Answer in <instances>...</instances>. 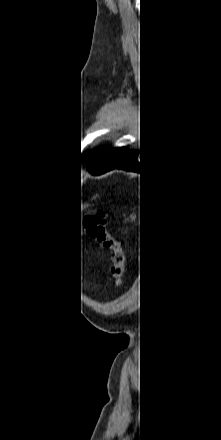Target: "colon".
<instances>
[{
  "label": "colon",
  "instance_id": "5ec220e1",
  "mask_svg": "<svg viewBox=\"0 0 221 440\" xmlns=\"http://www.w3.org/2000/svg\"><path fill=\"white\" fill-rule=\"evenodd\" d=\"M87 230L89 236L94 241L111 252L112 281L116 286L120 285L122 283L126 263V254L121 241L108 234L103 220L89 219L87 221Z\"/></svg>",
  "mask_w": 221,
  "mask_h": 440
}]
</instances>
